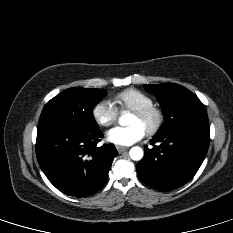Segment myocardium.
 <instances>
[{
  "mask_svg": "<svg viewBox=\"0 0 233 233\" xmlns=\"http://www.w3.org/2000/svg\"><path fill=\"white\" fill-rule=\"evenodd\" d=\"M133 114L142 119H152V125L146 131L148 136L157 134L163 126L164 113L161 108L155 105L134 110Z\"/></svg>",
  "mask_w": 233,
  "mask_h": 233,
  "instance_id": "obj_1",
  "label": "myocardium"
}]
</instances>
